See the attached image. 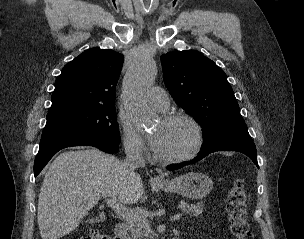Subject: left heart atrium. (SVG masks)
Returning a JSON list of instances; mask_svg holds the SVG:
<instances>
[{
    "label": "left heart atrium",
    "instance_id": "obj_1",
    "mask_svg": "<svg viewBox=\"0 0 304 239\" xmlns=\"http://www.w3.org/2000/svg\"><path fill=\"white\" fill-rule=\"evenodd\" d=\"M149 142H150V145H151L152 149L154 151H156L158 149L159 143H160V137H159V135H155L154 134V135L150 136Z\"/></svg>",
    "mask_w": 304,
    "mask_h": 239
}]
</instances>
